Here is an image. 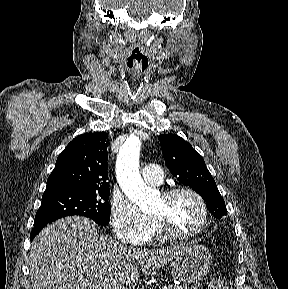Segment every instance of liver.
Masks as SVG:
<instances>
[{
	"label": "liver",
	"instance_id": "liver-1",
	"mask_svg": "<svg viewBox=\"0 0 288 289\" xmlns=\"http://www.w3.org/2000/svg\"><path fill=\"white\" fill-rule=\"evenodd\" d=\"M178 250L125 247L99 235L92 220L68 216L45 227L31 244L32 289H134L139 264L162 268Z\"/></svg>",
	"mask_w": 288,
	"mask_h": 289
}]
</instances>
